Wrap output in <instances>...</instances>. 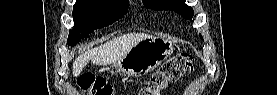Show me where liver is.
<instances>
[{"label": "liver", "mask_w": 277, "mask_h": 95, "mask_svg": "<svg viewBox=\"0 0 277 95\" xmlns=\"http://www.w3.org/2000/svg\"><path fill=\"white\" fill-rule=\"evenodd\" d=\"M148 37H150V35L142 33H130L113 38L112 40L100 46L87 50L86 52L76 57L75 61L73 62V76L78 77L90 60L93 64L99 66H106L117 62L139 41Z\"/></svg>", "instance_id": "obj_1"}]
</instances>
